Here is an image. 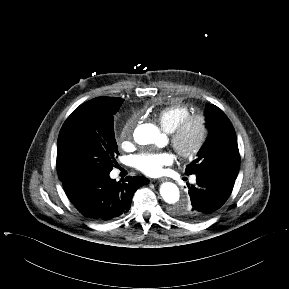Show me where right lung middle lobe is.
Returning <instances> with one entry per match:
<instances>
[{
  "label": "right lung middle lobe",
  "mask_w": 289,
  "mask_h": 289,
  "mask_svg": "<svg viewBox=\"0 0 289 289\" xmlns=\"http://www.w3.org/2000/svg\"><path fill=\"white\" fill-rule=\"evenodd\" d=\"M124 99L94 98L74 110L57 142V168L63 184L109 175L119 155L114 115Z\"/></svg>",
  "instance_id": "obj_1"
}]
</instances>
